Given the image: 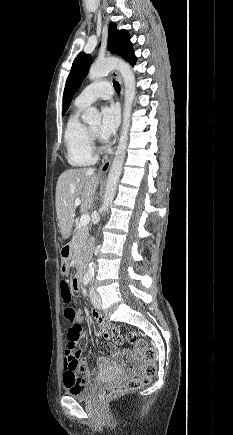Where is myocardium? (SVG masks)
Listing matches in <instances>:
<instances>
[{
	"mask_svg": "<svg viewBox=\"0 0 233 435\" xmlns=\"http://www.w3.org/2000/svg\"><path fill=\"white\" fill-rule=\"evenodd\" d=\"M87 130L91 138L96 136V132H94L89 126L87 127Z\"/></svg>",
	"mask_w": 233,
	"mask_h": 435,
	"instance_id": "1",
	"label": "myocardium"
}]
</instances>
